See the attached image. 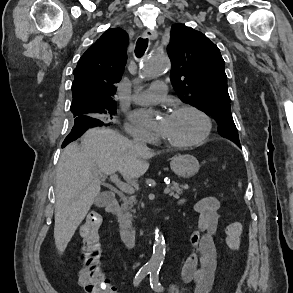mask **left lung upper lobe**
I'll list each match as a JSON object with an SVG mask.
<instances>
[{"label":"left lung upper lobe","instance_id":"left-lung-upper-lobe-1","mask_svg":"<svg viewBox=\"0 0 293 293\" xmlns=\"http://www.w3.org/2000/svg\"><path fill=\"white\" fill-rule=\"evenodd\" d=\"M167 52L171 83L179 98L207 111L218 123L219 134L240 144L218 47L201 32L174 24Z\"/></svg>","mask_w":293,"mask_h":293}]
</instances>
